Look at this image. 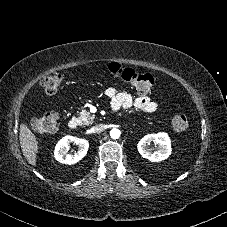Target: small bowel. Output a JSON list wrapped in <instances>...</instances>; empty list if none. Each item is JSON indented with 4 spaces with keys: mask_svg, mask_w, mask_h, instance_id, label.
<instances>
[{
    "mask_svg": "<svg viewBox=\"0 0 227 227\" xmlns=\"http://www.w3.org/2000/svg\"><path fill=\"white\" fill-rule=\"evenodd\" d=\"M105 94L110 98L111 107L115 111L123 109L128 113H132L133 109H136L145 113H153L158 109L157 102L152 100L146 93H140L138 97L133 98L125 92L109 87Z\"/></svg>",
    "mask_w": 227,
    "mask_h": 227,
    "instance_id": "1",
    "label": "small bowel"
}]
</instances>
